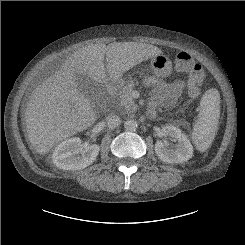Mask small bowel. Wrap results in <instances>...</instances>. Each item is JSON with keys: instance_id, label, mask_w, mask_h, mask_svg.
I'll return each instance as SVG.
<instances>
[{"instance_id": "c3829d8e", "label": "small bowel", "mask_w": 245, "mask_h": 245, "mask_svg": "<svg viewBox=\"0 0 245 245\" xmlns=\"http://www.w3.org/2000/svg\"><path fill=\"white\" fill-rule=\"evenodd\" d=\"M146 85L152 89V102L148 109V115L154 116L159 107H172L183 93L184 84L182 80L166 83L162 79L149 77Z\"/></svg>"}]
</instances>
